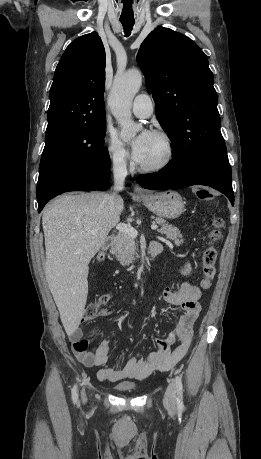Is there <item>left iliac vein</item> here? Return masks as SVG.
I'll return each mask as SVG.
<instances>
[{
    "label": "left iliac vein",
    "mask_w": 261,
    "mask_h": 459,
    "mask_svg": "<svg viewBox=\"0 0 261 459\" xmlns=\"http://www.w3.org/2000/svg\"><path fill=\"white\" fill-rule=\"evenodd\" d=\"M164 405L169 410H174L176 406V387L173 382L169 383L165 396Z\"/></svg>",
    "instance_id": "obj_1"
}]
</instances>
